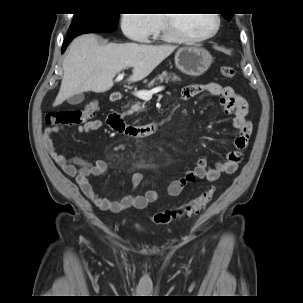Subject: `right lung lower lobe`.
I'll use <instances>...</instances> for the list:
<instances>
[{"instance_id": "1", "label": "right lung lower lobe", "mask_w": 303, "mask_h": 303, "mask_svg": "<svg viewBox=\"0 0 303 303\" xmlns=\"http://www.w3.org/2000/svg\"><path fill=\"white\" fill-rule=\"evenodd\" d=\"M116 29H117V27H111V26L92 27V28L83 30L79 33L67 35L66 39L63 42L62 53L66 50L68 44L78 35L86 34V33H96V32H113Z\"/></svg>"}]
</instances>
